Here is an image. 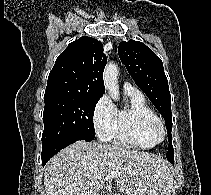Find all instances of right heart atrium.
<instances>
[{"label":"right heart atrium","instance_id":"right-heart-atrium-1","mask_svg":"<svg viewBox=\"0 0 211 195\" xmlns=\"http://www.w3.org/2000/svg\"><path fill=\"white\" fill-rule=\"evenodd\" d=\"M93 125L98 137L103 141H108L112 137L115 107L107 96H102L93 111Z\"/></svg>","mask_w":211,"mask_h":195}]
</instances>
